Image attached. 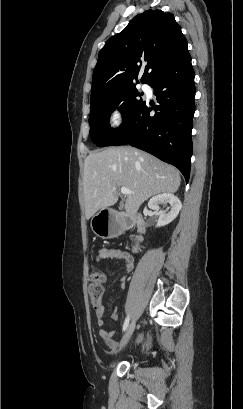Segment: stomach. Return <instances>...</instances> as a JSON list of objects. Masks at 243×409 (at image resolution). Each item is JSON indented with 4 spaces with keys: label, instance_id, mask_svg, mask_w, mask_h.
<instances>
[{
    "label": "stomach",
    "instance_id": "1",
    "mask_svg": "<svg viewBox=\"0 0 243 409\" xmlns=\"http://www.w3.org/2000/svg\"><path fill=\"white\" fill-rule=\"evenodd\" d=\"M103 211H100L98 214L93 216L91 220V228L93 232L102 237V238H110L114 234L111 232L110 228L108 227V222L102 220V214Z\"/></svg>",
    "mask_w": 243,
    "mask_h": 409
}]
</instances>
